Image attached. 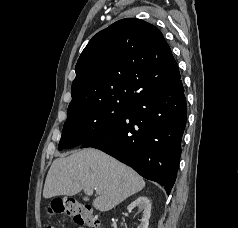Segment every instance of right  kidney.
Instances as JSON below:
<instances>
[{
	"mask_svg": "<svg viewBox=\"0 0 238 228\" xmlns=\"http://www.w3.org/2000/svg\"><path fill=\"white\" fill-rule=\"evenodd\" d=\"M136 207H138L139 211L142 212V219L138 228H148L151 213V201L147 197L141 196L133 201L127 209L128 211H132Z\"/></svg>",
	"mask_w": 238,
	"mask_h": 228,
	"instance_id": "1",
	"label": "right kidney"
}]
</instances>
